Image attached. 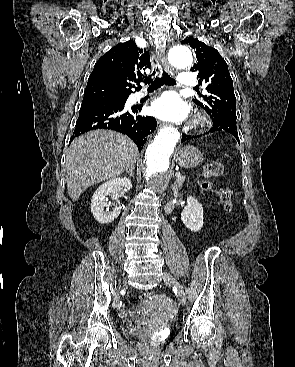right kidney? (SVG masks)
I'll use <instances>...</instances> for the list:
<instances>
[{
	"instance_id": "obj_1",
	"label": "right kidney",
	"mask_w": 295,
	"mask_h": 367,
	"mask_svg": "<svg viewBox=\"0 0 295 367\" xmlns=\"http://www.w3.org/2000/svg\"><path fill=\"white\" fill-rule=\"evenodd\" d=\"M130 190L132 184L127 178H115L111 179L102 185L95 191L91 200V213L94 218L101 224H108L114 221L121 212V207L117 204H113L111 211L107 208V196H111L114 200H117L118 192L122 189ZM105 208L106 211H105Z\"/></svg>"
}]
</instances>
